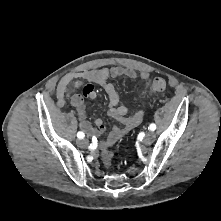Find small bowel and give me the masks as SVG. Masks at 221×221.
<instances>
[{"label": "small bowel", "mask_w": 221, "mask_h": 221, "mask_svg": "<svg viewBox=\"0 0 221 221\" xmlns=\"http://www.w3.org/2000/svg\"><path fill=\"white\" fill-rule=\"evenodd\" d=\"M122 76L135 79L137 78V73L131 68L121 66L86 70L81 73H73L64 76L57 88V103L59 106L64 105L66 98L70 94V85L79 78L87 81L82 87L85 97L90 99H95L97 97L96 87L93 84H98L104 89L108 98L109 116L122 124L121 127H113L108 136L102 141V145L105 147L115 144L132 128L140 124L144 118V110L129 114L127 106L120 102L116 87L108 81L110 78ZM140 78L144 81L145 88H147L149 84V74L147 72H141ZM71 104L76 109L79 118V126L82 131L96 137H99L105 131V126L100 118L95 120L94 127L87 120L84 97L82 95H73L71 97Z\"/></svg>", "instance_id": "c3829d8e"}]
</instances>
